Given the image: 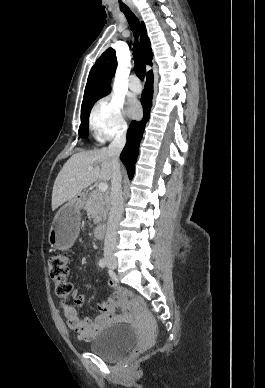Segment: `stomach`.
Returning a JSON list of instances; mask_svg holds the SVG:
<instances>
[{
    "mask_svg": "<svg viewBox=\"0 0 265 388\" xmlns=\"http://www.w3.org/2000/svg\"><path fill=\"white\" fill-rule=\"evenodd\" d=\"M82 205V199L76 197L59 209L49 232L48 241L52 247L66 250L73 245L79 232Z\"/></svg>",
    "mask_w": 265,
    "mask_h": 388,
    "instance_id": "0dacf381",
    "label": "stomach"
}]
</instances>
